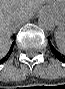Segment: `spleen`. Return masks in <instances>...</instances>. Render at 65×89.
I'll return each instance as SVG.
<instances>
[{"instance_id":"1","label":"spleen","mask_w":65,"mask_h":89,"mask_svg":"<svg viewBox=\"0 0 65 89\" xmlns=\"http://www.w3.org/2000/svg\"><path fill=\"white\" fill-rule=\"evenodd\" d=\"M55 39L58 48L62 53L65 52V32L62 29H58L55 33Z\"/></svg>"}]
</instances>
